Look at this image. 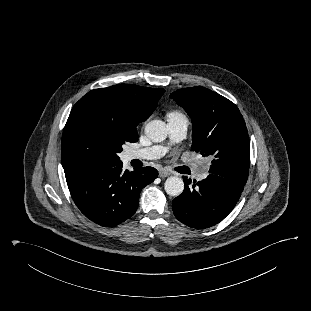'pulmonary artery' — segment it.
<instances>
[{
  "label": "pulmonary artery",
  "instance_id": "e3ab8cb5",
  "mask_svg": "<svg viewBox=\"0 0 311 311\" xmlns=\"http://www.w3.org/2000/svg\"><path fill=\"white\" fill-rule=\"evenodd\" d=\"M169 137L172 143L181 141L188 130V120L178 119L168 121L167 124ZM166 148L163 146H152L133 150L128 153L129 159H140V160H153L162 157L166 153ZM208 176L206 170H202L196 174V179L199 181L205 180Z\"/></svg>",
  "mask_w": 311,
  "mask_h": 311
}]
</instances>
